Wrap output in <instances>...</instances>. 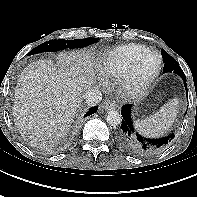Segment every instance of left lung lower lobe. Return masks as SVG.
<instances>
[{"label":"left lung lower lobe","mask_w":197,"mask_h":197,"mask_svg":"<svg viewBox=\"0 0 197 197\" xmlns=\"http://www.w3.org/2000/svg\"><path fill=\"white\" fill-rule=\"evenodd\" d=\"M182 79L188 97L186 77ZM131 112L132 104L122 106L121 114L123 119L117 134V140L125 150L136 155H150L164 149L174 138L173 132L160 138H146L140 135L135 129Z\"/></svg>","instance_id":"left-lung-lower-lobe-1"}]
</instances>
